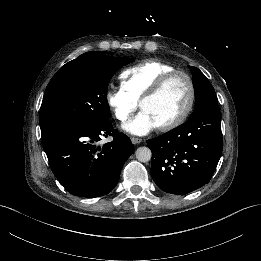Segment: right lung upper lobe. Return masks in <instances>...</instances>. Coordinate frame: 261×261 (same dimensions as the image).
<instances>
[{"label": "right lung upper lobe", "mask_w": 261, "mask_h": 261, "mask_svg": "<svg viewBox=\"0 0 261 261\" xmlns=\"http://www.w3.org/2000/svg\"><path fill=\"white\" fill-rule=\"evenodd\" d=\"M84 54H101V55H105V52L93 51V52H87V53H84ZM39 122H40V125H42L44 123L43 108H40Z\"/></svg>", "instance_id": "obj_1"}]
</instances>
